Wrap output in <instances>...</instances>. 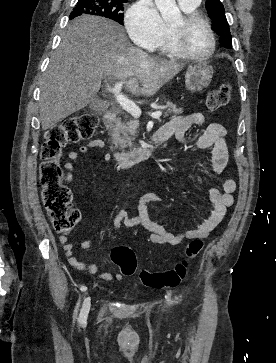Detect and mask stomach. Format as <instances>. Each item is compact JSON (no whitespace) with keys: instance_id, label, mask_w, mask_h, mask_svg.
<instances>
[{"instance_id":"stomach-1","label":"stomach","mask_w":276,"mask_h":363,"mask_svg":"<svg viewBox=\"0 0 276 363\" xmlns=\"http://www.w3.org/2000/svg\"><path fill=\"white\" fill-rule=\"evenodd\" d=\"M212 75L213 69L207 64L190 65L185 74L186 88L191 92H200L210 84Z\"/></svg>"}]
</instances>
